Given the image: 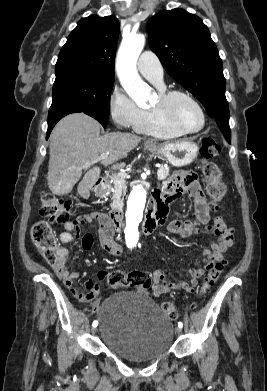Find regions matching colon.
<instances>
[{"instance_id": "1", "label": "colon", "mask_w": 267, "mask_h": 391, "mask_svg": "<svg viewBox=\"0 0 267 391\" xmlns=\"http://www.w3.org/2000/svg\"><path fill=\"white\" fill-rule=\"evenodd\" d=\"M200 152L203 158L202 174L207 194L210 198V207L215 210L226 194L222 170L215 162L211 161L212 158L219 154L220 146L214 139L205 138L202 141ZM72 209L73 202L70 200L58 198L51 193L42 195L40 214L43 217L49 218L56 223H65L70 219ZM31 239L42 253L46 262L54 265L58 255L56 238L50 224L47 221L36 222L31 229ZM225 265L226 259L223 257L210 268L201 286L202 294L207 293L216 283ZM108 284L113 289L131 286L138 292L147 293L151 286V274L145 271H133L128 274L111 273L108 278ZM162 310L171 320L177 317V309L170 302L163 303Z\"/></svg>"}]
</instances>
